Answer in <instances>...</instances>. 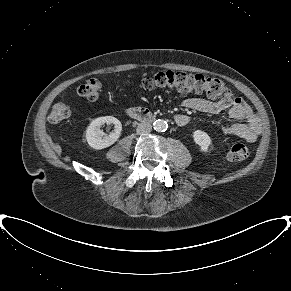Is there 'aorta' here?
Here are the masks:
<instances>
[{
	"mask_svg": "<svg viewBox=\"0 0 291 291\" xmlns=\"http://www.w3.org/2000/svg\"><path fill=\"white\" fill-rule=\"evenodd\" d=\"M153 128H154V130H156L158 132H164L167 130L168 124L166 121L158 119V120L154 121Z\"/></svg>",
	"mask_w": 291,
	"mask_h": 291,
	"instance_id": "obj_1",
	"label": "aorta"
}]
</instances>
